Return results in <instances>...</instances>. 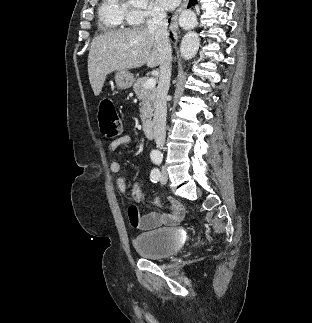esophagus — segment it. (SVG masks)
I'll list each match as a JSON object with an SVG mask.
<instances>
[{"instance_id":"1","label":"esophagus","mask_w":312,"mask_h":323,"mask_svg":"<svg viewBox=\"0 0 312 323\" xmlns=\"http://www.w3.org/2000/svg\"><path fill=\"white\" fill-rule=\"evenodd\" d=\"M187 4H188V0H183V3L180 5L179 8H177V10L175 11V13L172 16L171 29H172L174 35H177V32H178V17L180 15V13L182 12V10L184 8H186Z\"/></svg>"}]
</instances>
